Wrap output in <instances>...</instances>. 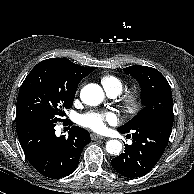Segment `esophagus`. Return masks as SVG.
I'll return each instance as SVG.
<instances>
[{
  "instance_id": "obj_1",
  "label": "esophagus",
  "mask_w": 194,
  "mask_h": 194,
  "mask_svg": "<svg viewBox=\"0 0 194 194\" xmlns=\"http://www.w3.org/2000/svg\"><path fill=\"white\" fill-rule=\"evenodd\" d=\"M91 139L92 140H99V139H105V137L101 136V135H98V134H95V133H92L91 134Z\"/></svg>"
}]
</instances>
